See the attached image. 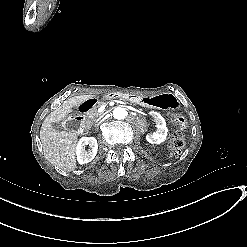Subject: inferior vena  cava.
I'll list each match as a JSON object with an SVG mask.
<instances>
[{
	"label": "inferior vena cava",
	"mask_w": 247,
	"mask_h": 247,
	"mask_svg": "<svg viewBox=\"0 0 247 247\" xmlns=\"http://www.w3.org/2000/svg\"><path fill=\"white\" fill-rule=\"evenodd\" d=\"M103 118V116L102 117H99L98 119H97V122L99 121V120H101Z\"/></svg>",
	"instance_id": "inferior-vena-cava-1"
}]
</instances>
